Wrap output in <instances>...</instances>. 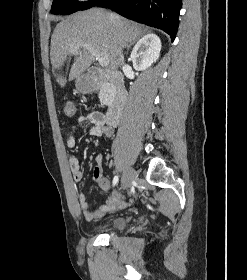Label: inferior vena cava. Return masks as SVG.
Segmentation results:
<instances>
[{
    "mask_svg": "<svg viewBox=\"0 0 247 280\" xmlns=\"http://www.w3.org/2000/svg\"><path fill=\"white\" fill-rule=\"evenodd\" d=\"M119 62H124V56L122 54H120Z\"/></svg>",
    "mask_w": 247,
    "mask_h": 280,
    "instance_id": "602c4592",
    "label": "inferior vena cava"
}]
</instances>
